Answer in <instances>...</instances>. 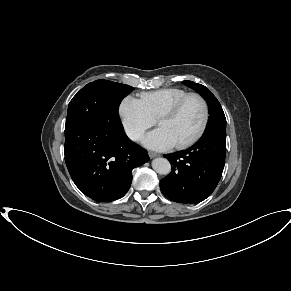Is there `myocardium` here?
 Segmentation results:
<instances>
[{
  "mask_svg": "<svg viewBox=\"0 0 291 291\" xmlns=\"http://www.w3.org/2000/svg\"><path fill=\"white\" fill-rule=\"evenodd\" d=\"M198 98L202 104H203V108H204V117H203V121L202 124L199 128V130L196 132V134L194 136H192L190 139L178 143L175 145L176 148L178 149H185L188 148L190 146H192L193 144H195L205 133L206 128L208 126V122H209V117H210V110H209V105L206 101V99L201 96L198 93H188L187 95H185L184 97H182L179 101H177L174 105H172L169 109H167L166 111H164L158 118H157V125L161 120L164 119H171L174 118L182 109V107L184 106V104L187 102V100H189L190 98Z\"/></svg>",
  "mask_w": 291,
  "mask_h": 291,
  "instance_id": "1",
  "label": "myocardium"
}]
</instances>
